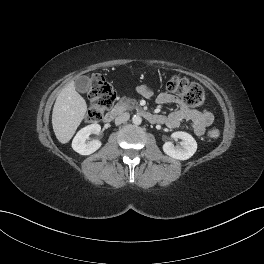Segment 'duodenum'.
Returning <instances> with one entry per match:
<instances>
[{"label": "duodenum", "mask_w": 264, "mask_h": 264, "mask_svg": "<svg viewBox=\"0 0 264 264\" xmlns=\"http://www.w3.org/2000/svg\"><path fill=\"white\" fill-rule=\"evenodd\" d=\"M121 113H122L121 109L118 108L113 109L105 114V116L103 117V122L110 123ZM137 113L140 114L142 117H144L147 121H149L152 124H162L164 122V117L162 115L152 114L147 111H144L141 108H137Z\"/></svg>", "instance_id": "410a0bca"}]
</instances>
